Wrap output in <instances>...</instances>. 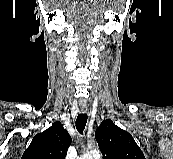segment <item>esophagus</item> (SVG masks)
Here are the masks:
<instances>
[{"label": "esophagus", "instance_id": "1", "mask_svg": "<svg viewBox=\"0 0 173 159\" xmlns=\"http://www.w3.org/2000/svg\"><path fill=\"white\" fill-rule=\"evenodd\" d=\"M81 111H82V112H86V111H87V108H86V107H82V108H81Z\"/></svg>", "mask_w": 173, "mask_h": 159}]
</instances>
